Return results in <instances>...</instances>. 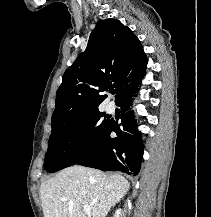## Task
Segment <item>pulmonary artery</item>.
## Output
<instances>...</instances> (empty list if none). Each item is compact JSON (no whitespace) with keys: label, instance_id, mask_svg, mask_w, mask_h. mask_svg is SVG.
<instances>
[{"label":"pulmonary artery","instance_id":"1","mask_svg":"<svg viewBox=\"0 0 211 217\" xmlns=\"http://www.w3.org/2000/svg\"><path fill=\"white\" fill-rule=\"evenodd\" d=\"M106 110H107V112H113V110H114V105L111 104V103L107 104V105H106Z\"/></svg>","mask_w":211,"mask_h":217}]
</instances>
